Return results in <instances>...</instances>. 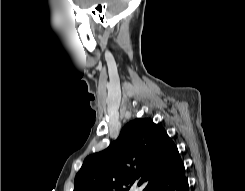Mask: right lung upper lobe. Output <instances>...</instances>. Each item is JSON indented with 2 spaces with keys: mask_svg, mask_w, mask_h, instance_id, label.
Masks as SVG:
<instances>
[{
  "mask_svg": "<svg viewBox=\"0 0 245 191\" xmlns=\"http://www.w3.org/2000/svg\"><path fill=\"white\" fill-rule=\"evenodd\" d=\"M183 163L166 131L150 119H135L101 152L88 156L74 191H128L136 182L151 191Z\"/></svg>",
  "mask_w": 245,
  "mask_h": 191,
  "instance_id": "1",
  "label": "right lung upper lobe"
}]
</instances>
